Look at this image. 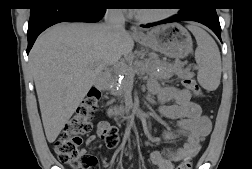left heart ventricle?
<instances>
[{"label":"left heart ventricle","mask_w":252,"mask_h":169,"mask_svg":"<svg viewBox=\"0 0 252 169\" xmlns=\"http://www.w3.org/2000/svg\"><path fill=\"white\" fill-rule=\"evenodd\" d=\"M139 14L141 15H152L154 14L155 12H158V11H154L152 9H141V10H138L137 11Z\"/></svg>","instance_id":"b2bd125f"}]
</instances>
